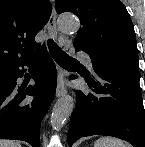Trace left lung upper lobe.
<instances>
[{
	"instance_id": "obj_1",
	"label": "left lung upper lobe",
	"mask_w": 145,
	"mask_h": 147,
	"mask_svg": "<svg viewBox=\"0 0 145 147\" xmlns=\"http://www.w3.org/2000/svg\"><path fill=\"white\" fill-rule=\"evenodd\" d=\"M56 11L80 18L75 48L93 59L125 58L138 61L134 26L120 0H56Z\"/></svg>"
}]
</instances>
